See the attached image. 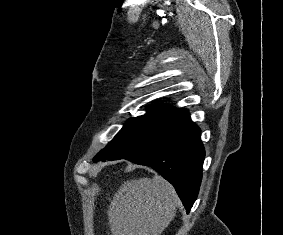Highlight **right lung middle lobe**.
<instances>
[{"label": "right lung middle lobe", "instance_id": "dd1d6c3e", "mask_svg": "<svg viewBox=\"0 0 283 235\" xmlns=\"http://www.w3.org/2000/svg\"><path fill=\"white\" fill-rule=\"evenodd\" d=\"M146 115L129 119L94 161L125 159L165 137L188 114L169 105L148 107Z\"/></svg>", "mask_w": 283, "mask_h": 235}]
</instances>
